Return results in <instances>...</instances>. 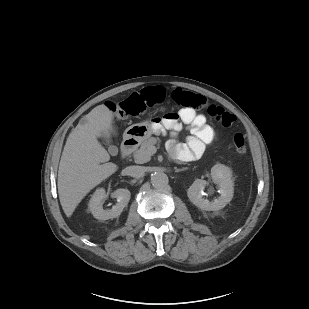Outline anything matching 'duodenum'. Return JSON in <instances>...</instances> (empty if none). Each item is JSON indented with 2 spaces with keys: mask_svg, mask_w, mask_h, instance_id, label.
Returning <instances> with one entry per match:
<instances>
[{
  "mask_svg": "<svg viewBox=\"0 0 309 309\" xmlns=\"http://www.w3.org/2000/svg\"><path fill=\"white\" fill-rule=\"evenodd\" d=\"M137 141L133 137H127L121 145L120 153L122 157H127L136 148Z\"/></svg>",
  "mask_w": 309,
  "mask_h": 309,
  "instance_id": "obj_1",
  "label": "duodenum"
}]
</instances>
